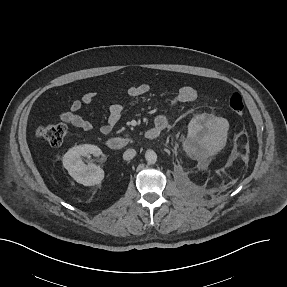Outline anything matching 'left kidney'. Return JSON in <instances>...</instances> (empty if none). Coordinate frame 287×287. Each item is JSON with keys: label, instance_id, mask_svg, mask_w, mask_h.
I'll return each mask as SVG.
<instances>
[{"label": "left kidney", "instance_id": "5707ae66", "mask_svg": "<svg viewBox=\"0 0 287 287\" xmlns=\"http://www.w3.org/2000/svg\"><path fill=\"white\" fill-rule=\"evenodd\" d=\"M200 136V125L195 119H192L188 125V138L195 139ZM224 136H221L217 142H222ZM216 150L220 149V145L215 147Z\"/></svg>", "mask_w": 287, "mask_h": 287}]
</instances>
